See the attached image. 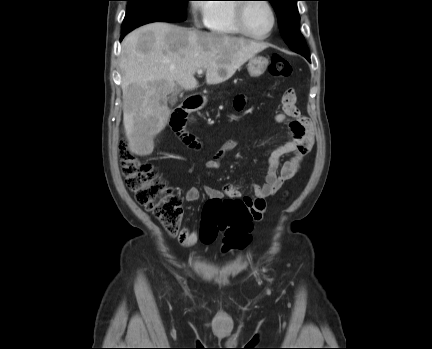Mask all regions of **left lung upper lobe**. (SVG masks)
Instances as JSON below:
<instances>
[{
	"instance_id": "5c2ea615",
	"label": "left lung upper lobe",
	"mask_w": 432,
	"mask_h": 349,
	"mask_svg": "<svg viewBox=\"0 0 432 349\" xmlns=\"http://www.w3.org/2000/svg\"><path fill=\"white\" fill-rule=\"evenodd\" d=\"M278 16V24L284 41L295 52L309 53L299 30L298 0H268Z\"/></svg>"
}]
</instances>
